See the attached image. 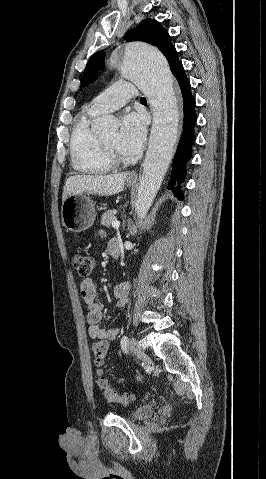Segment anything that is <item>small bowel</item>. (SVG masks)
Returning a JSON list of instances; mask_svg holds the SVG:
<instances>
[{"instance_id": "1", "label": "small bowel", "mask_w": 266, "mask_h": 479, "mask_svg": "<svg viewBox=\"0 0 266 479\" xmlns=\"http://www.w3.org/2000/svg\"><path fill=\"white\" fill-rule=\"evenodd\" d=\"M129 291L130 287L127 283L116 286L114 294L118 300L117 304L119 307H125L127 305L129 301ZM80 292L88 307L87 322L89 324V336L96 340H114L119 333V329L103 328L99 324L103 317V308L94 280L91 278L83 279L80 284Z\"/></svg>"}]
</instances>
